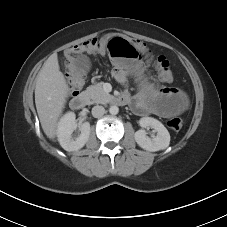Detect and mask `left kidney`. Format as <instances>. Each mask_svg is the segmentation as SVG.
Here are the masks:
<instances>
[{
	"mask_svg": "<svg viewBox=\"0 0 227 227\" xmlns=\"http://www.w3.org/2000/svg\"><path fill=\"white\" fill-rule=\"evenodd\" d=\"M139 124L142 128L151 127L157 132L155 137L150 138L146 135L144 129L136 131L134 134L135 141L141 148L150 152H155L164 150L169 146L170 134L160 121L152 117H142L139 120Z\"/></svg>",
	"mask_w": 227,
	"mask_h": 227,
	"instance_id": "1",
	"label": "left kidney"
}]
</instances>
